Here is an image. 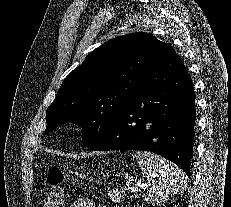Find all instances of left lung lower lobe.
Wrapping results in <instances>:
<instances>
[{
    "label": "left lung lower lobe",
    "instance_id": "0a47b994",
    "mask_svg": "<svg viewBox=\"0 0 231 207\" xmlns=\"http://www.w3.org/2000/svg\"><path fill=\"white\" fill-rule=\"evenodd\" d=\"M146 88L117 117L95 151L143 150L174 162L190 176L195 138V92L170 47L146 80Z\"/></svg>",
    "mask_w": 231,
    "mask_h": 207
}]
</instances>
